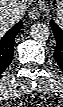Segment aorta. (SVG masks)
I'll use <instances>...</instances> for the list:
<instances>
[{"instance_id": "762f6f07", "label": "aorta", "mask_w": 63, "mask_h": 107, "mask_svg": "<svg viewBox=\"0 0 63 107\" xmlns=\"http://www.w3.org/2000/svg\"><path fill=\"white\" fill-rule=\"evenodd\" d=\"M31 37L39 42L46 41L50 36V29L44 23H35L30 28Z\"/></svg>"}]
</instances>
